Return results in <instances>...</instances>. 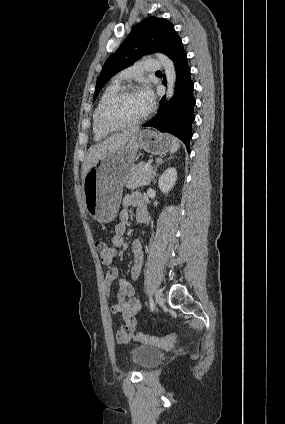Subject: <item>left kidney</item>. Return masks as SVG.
Wrapping results in <instances>:
<instances>
[{
  "instance_id": "1",
  "label": "left kidney",
  "mask_w": 285,
  "mask_h": 424,
  "mask_svg": "<svg viewBox=\"0 0 285 424\" xmlns=\"http://www.w3.org/2000/svg\"><path fill=\"white\" fill-rule=\"evenodd\" d=\"M177 180V171L175 168L166 169L158 180L159 189L168 194V192L173 188Z\"/></svg>"
}]
</instances>
